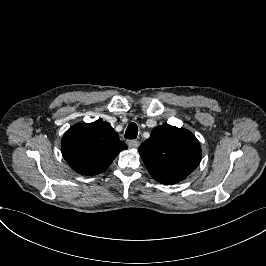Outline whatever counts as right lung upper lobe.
Instances as JSON below:
<instances>
[{"instance_id":"cb5924a9","label":"right lung upper lobe","mask_w":266,"mask_h":266,"mask_svg":"<svg viewBox=\"0 0 266 266\" xmlns=\"http://www.w3.org/2000/svg\"><path fill=\"white\" fill-rule=\"evenodd\" d=\"M61 148L72 169L83 175H97L128 147L109 123L96 120L72 126L63 136Z\"/></svg>"}]
</instances>
